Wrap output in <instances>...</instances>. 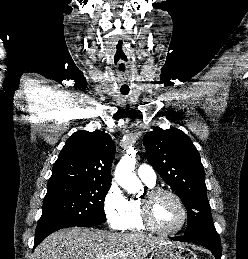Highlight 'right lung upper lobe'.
<instances>
[{
	"mask_svg": "<svg viewBox=\"0 0 248 259\" xmlns=\"http://www.w3.org/2000/svg\"><path fill=\"white\" fill-rule=\"evenodd\" d=\"M115 147L102 131L79 130L65 143L52 170L48 185L66 183L111 184Z\"/></svg>",
	"mask_w": 248,
	"mask_h": 259,
	"instance_id": "obj_1",
	"label": "right lung upper lobe"
}]
</instances>
